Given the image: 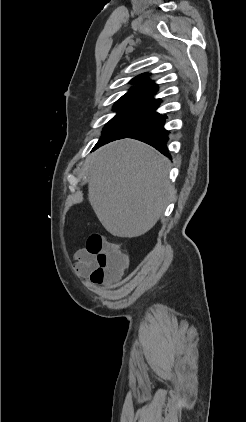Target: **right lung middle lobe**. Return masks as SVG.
Instances as JSON below:
<instances>
[{
    "mask_svg": "<svg viewBox=\"0 0 246 422\" xmlns=\"http://www.w3.org/2000/svg\"><path fill=\"white\" fill-rule=\"evenodd\" d=\"M114 109L117 114L105 125L94 149L111 141L126 138L162 117L152 109Z\"/></svg>",
    "mask_w": 246,
    "mask_h": 422,
    "instance_id": "1",
    "label": "right lung middle lobe"
}]
</instances>
